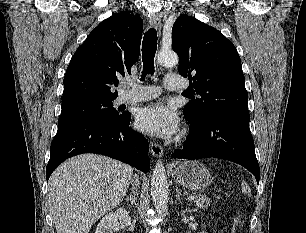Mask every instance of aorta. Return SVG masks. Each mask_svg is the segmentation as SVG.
Segmentation results:
<instances>
[{
	"label": "aorta",
	"instance_id": "1",
	"mask_svg": "<svg viewBox=\"0 0 306 233\" xmlns=\"http://www.w3.org/2000/svg\"><path fill=\"white\" fill-rule=\"evenodd\" d=\"M157 61L165 67H173L179 63L178 55L171 50H161ZM151 196L153 204L160 214H165L168 203V182L165 168L161 160L155 165L151 178Z\"/></svg>",
	"mask_w": 306,
	"mask_h": 233
}]
</instances>
